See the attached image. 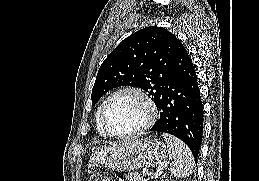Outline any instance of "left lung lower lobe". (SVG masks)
<instances>
[{
	"instance_id": "1",
	"label": "left lung lower lobe",
	"mask_w": 259,
	"mask_h": 181,
	"mask_svg": "<svg viewBox=\"0 0 259 181\" xmlns=\"http://www.w3.org/2000/svg\"><path fill=\"white\" fill-rule=\"evenodd\" d=\"M175 61V71L156 102L160 119L150 131L178 137L197 159L203 133V104L192 60L179 40Z\"/></svg>"
}]
</instances>
